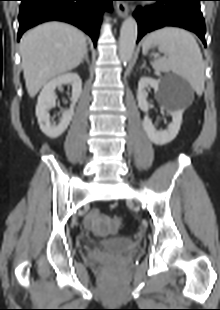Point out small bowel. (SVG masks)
Returning <instances> with one entry per match:
<instances>
[{"label":"small bowel","instance_id":"1","mask_svg":"<svg viewBox=\"0 0 220 310\" xmlns=\"http://www.w3.org/2000/svg\"><path fill=\"white\" fill-rule=\"evenodd\" d=\"M110 219L104 214H101L98 210H92L84 218V227L96 234H102L109 226Z\"/></svg>","mask_w":220,"mask_h":310}]
</instances>
